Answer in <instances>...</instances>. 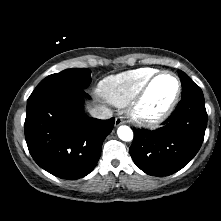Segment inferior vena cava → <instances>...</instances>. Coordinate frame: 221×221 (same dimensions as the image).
<instances>
[{"instance_id": "inferior-vena-cava-1", "label": "inferior vena cava", "mask_w": 221, "mask_h": 221, "mask_svg": "<svg viewBox=\"0 0 221 221\" xmlns=\"http://www.w3.org/2000/svg\"><path fill=\"white\" fill-rule=\"evenodd\" d=\"M92 117L107 120L112 117V111L104 106H96L89 110Z\"/></svg>"}]
</instances>
